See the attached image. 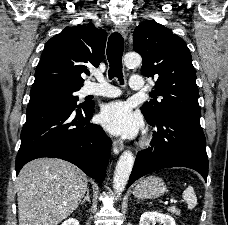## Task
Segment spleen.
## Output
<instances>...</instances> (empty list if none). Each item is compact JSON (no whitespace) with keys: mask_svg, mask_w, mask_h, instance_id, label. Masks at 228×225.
I'll return each instance as SVG.
<instances>
[{"mask_svg":"<svg viewBox=\"0 0 228 225\" xmlns=\"http://www.w3.org/2000/svg\"><path fill=\"white\" fill-rule=\"evenodd\" d=\"M182 197L184 201H186L188 209H194V207H196L197 197L194 193L193 187H187V189L183 191Z\"/></svg>","mask_w":228,"mask_h":225,"instance_id":"3e777b00","label":"spleen"}]
</instances>
